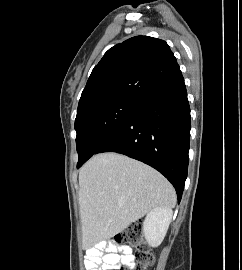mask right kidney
<instances>
[{
    "label": "right kidney",
    "mask_w": 242,
    "mask_h": 270,
    "mask_svg": "<svg viewBox=\"0 0 242 270\" xmlns=\"http://www.w3.org/2000/svg\"><path fill=\"white\" fill-rule=\"evenodd\" d=\"M172 215L173 211L171 209L162 207H156L148 212L143 222V233L150 246L157 247L161 244L168 230Z\"/></svg>",
    "instance_id": "1"
}]
</instances>
